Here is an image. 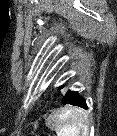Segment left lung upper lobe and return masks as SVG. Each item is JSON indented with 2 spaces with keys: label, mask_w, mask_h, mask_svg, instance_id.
<instances>
[{
  "label": "left lung upper lobe",
  "mask_w": 117,
  "mask_h": 136,
  "mask_svg": "<svg viewBox=\"0 0 117 136\" xmlns=\"http://www.w3.org/2000/svg\"><path fill=\"white\" fill-rule=\"evenodd\" d=\"M64 86H65V84L61 85V86H60V89L64 88Z\"/></svg>",
  "instance_id": "1"
}]
</instances>
